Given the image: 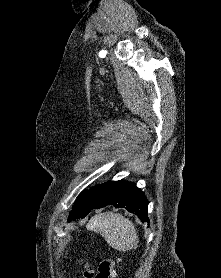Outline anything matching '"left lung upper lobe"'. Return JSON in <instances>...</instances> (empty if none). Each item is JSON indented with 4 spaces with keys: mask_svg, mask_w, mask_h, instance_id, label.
<instances>
[{
    "mask_svg": "<svg viewBox=\"0 0 221 278\" xmlns=\"http://www.w3.org/2000/svg\"><path fill=\"white\" fill-rule=\"evenodd\" d=\"M82 193H83V192H82ZM82 193H81V194H82ZM81 194L79 195V197L81 196ZM79 197H78V199H79ZM78 199H77V201H78ZM77 201H76V202H77Z\"/></svg>",
    "mask_w": 221,
    "mask_h": 278,
    "instance_id": "left-lung-upper-lobe-1",
    "label": "left lung upper lobe"
}]
</instances>
